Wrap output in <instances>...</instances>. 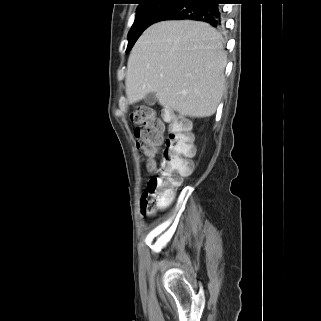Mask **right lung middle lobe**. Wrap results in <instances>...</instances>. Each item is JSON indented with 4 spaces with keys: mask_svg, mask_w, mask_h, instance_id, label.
<instances>
[{
    "mask_svg": "<svg viewBox=\"0 0 321 321\" xmlns=\"http://www.w3.org/2000/svg\"><path fill=\"white\" fill-rule=\"evenodd\" d=\"M175 0H153L139 5L134 23L128 34V47L130 51L137 39L150 25L159 21V17L167 10L175 6Z\"/></svg>",
    "mask_w": 321,
    "mask_h": 321,
    "instance_id": "dd1d6c3e",
    "label": "right lung middle lobe"
}]
</instances>
